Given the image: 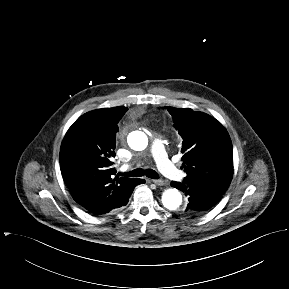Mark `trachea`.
Here are the masks:
<instances>
[{"label": "trachea", "mask_w": 289, "mask_h": 289, "mask_svg": "<svg viewBox=\"0 0 289 289\" xmlns=\"http://www.w3.org/2000/svg\"><path fill=\"white\" fill-rule=\"evenodd\" d=\"M127 175L131 177H141V176L146 175L149 178L158 179L157 172L152 169L143 170L142 168H137L133 170L132 172H129Z\"/></svg>", "instance_id": "1"}]
</instances>
